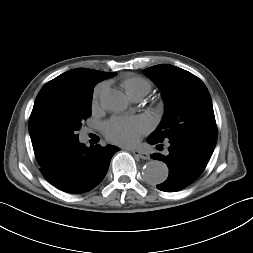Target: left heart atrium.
<instances>
[{
  "label": "left heart atrium",
  "instance_id": "39dd6f15",
  "mask_svg": "<svg viewBox=\"0 0 253 253\" xmlns=\"http://www.w3.org/2000/svg\"><path fill=\"white\" fill-rule=\"evenodd\" d=\"M150 129V121L143 116L113 118L104 125L108 140L126 146L135 144Z\"/></svg>",
  "mask_w": 253,
  "mask_h": 253
}]
</instances>
